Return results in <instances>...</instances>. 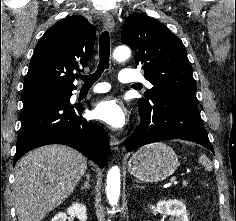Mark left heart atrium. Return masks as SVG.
<instances>
[{
    "label": "left heart atrium",
    "mask_w": 236,
    "mask_h": 221,
    "mask_svg": "<svg viewBox=\"0 0 236 221\" xmlns=\"http://www.w3.org/2000/svg\"><path fill=\"white\" fill-rule=\"evenodd\" d=\"M93 117L108 124L114 129L123 128L128 122L127 109L120 101L113 97H107L95 104Z\"/></svg>",
    "instance_id": "1"
}]
</instances>
